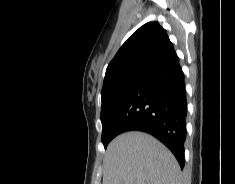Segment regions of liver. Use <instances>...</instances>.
Wrapping results in <instances>:
<instances>
[{
  "label": "liver",
  "instance_id": "1",
  "mask_svg": "<svg viewBox=\"0 0 235 184\" xmlns=\"http://www.w3.org/2000/svg\"><path fill=\"white\" fill-rule=\"evenodd\" d=\"M104 170L103 184H181L173 154L143 132L114 138L106 150Z\"/></svg>",
  "mask_w": 235,
  "mask_h": 184
}]
</instances>
